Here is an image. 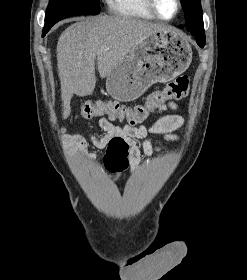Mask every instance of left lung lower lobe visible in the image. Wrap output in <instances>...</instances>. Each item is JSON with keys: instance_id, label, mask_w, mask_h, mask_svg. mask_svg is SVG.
Here are the masks:
<instances>
[{"instance_id": "left-lung-lower-lobe-1", "label": "left lung lower lobe", "mask_w": 247, "mask_h": 280, "mask_svg": "<svg viewBox=\"0 0 247 280\" xmlns=\"http://www.w3.org/2000/svg\"><path fill=\"white\" fill-rule=\"evenodd\" d=\"M181 28H183V27H181ZM188 31H189V30H188ZM189 32H191V34L196 38L197 44H198L200 47H204V45H205V36H200V35L196 34V33L193 32V31H189Z\"/></svg>"}]
</instances>
